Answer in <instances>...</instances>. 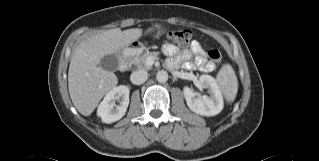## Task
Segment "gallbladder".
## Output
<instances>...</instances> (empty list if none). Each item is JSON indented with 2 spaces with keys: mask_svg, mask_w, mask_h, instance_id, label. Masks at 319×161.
Instances as JSON below:
<instances>
[{
  "mask_svg": "<svg viewBox=\"0 0 319 161\" xmlns=\"http://www.w3.org/2000/svg\"><path fill=\"white\" fill-rule=\"evenodd\" d=\"M118 65H119L118 57L114 54L104 56L99 63V66L101 68L110 72L116 71L118 68Z\"/></svg>",
  "mask_w": 319,
  "mask_h": 161,
  "instance_id": "1",
  "label": "gallbladder"
}]
</instances>
